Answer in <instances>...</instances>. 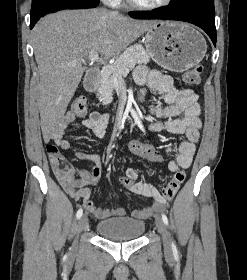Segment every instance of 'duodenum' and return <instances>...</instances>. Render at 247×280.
Instances as JSON below:
<instances>
[{
    "label": "duodenum",
    "instance_id": "1",
    "mask_svg": "<svg viewBox=\"0 0 247 280\" xmlns=\"http://www.w3.org/2000/svg\"><path fill=\"white\" fill-rule=\"evenodd\" d=\"M100 70L99 69H92L88 72L86 79H85V88L88 91H94L100 80Z\"/></svg>",
    "mask_w": 247,
    "mask_h": 280
}]
</instances>
